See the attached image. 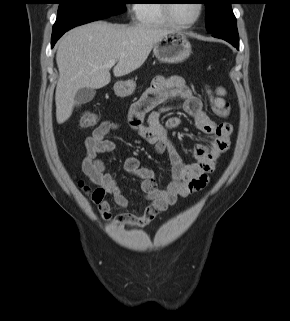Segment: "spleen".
<instances>
[{"instance_id": "spleen-1", "label": "spleen", "mask_w": 290, "mask_h": 321, "mask_svg": "<svg viewBox=\"0 0 290 321\" xmlns=\"http://www.w3.org/2000/svg\"><path fill=\"white\" fill-rule=\"evenodd\" d=\"M217 93L220 94V95H225L226 91H225V89L219 87L217 89ZM216 105L219 106V107H222L224 105V101L222 99H217L216 100Z\"/></svg>"}]
</instances>
